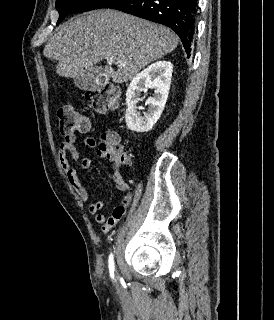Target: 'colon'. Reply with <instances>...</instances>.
<instances>
[{"label": "colon", "mask_w": 274, "mask_h": 320, "mask_svg": "<svg viewBox=\"0 0 274 320\" xmlns=\"http://www.w3.org/2000/svg\"><path fill=\"white\" fill-rule=\"evenodd\" d=\"M115 94V87L106 85L99 89L86 90L83 93V98L94 111L104 113L113 106ZM57 118L62 134L67 137L77 132L80 133L82 120H89L81 111L70 104H62L58 107ZM100 149L106 151L113 160L119 161L123 156L120 138L112 131H107L101 135Z\"/></svg>", "instance_id": "colon-1"}]
</instances>
